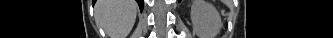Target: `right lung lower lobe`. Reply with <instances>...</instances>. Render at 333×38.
Instances as JSON below:
<instances>
[{
    "mask_svg": "<svg viewBox=\"0 0 333 38\" xmlns=\"http://www.w3.org/2000/svg\"><path fill=\"white\" fill-rule=\"evenodd\" d=\"M139 4L140 9H143V5H144V0H136ZM96 2V0L93 1V4Z\"/></svg>",
    "mask_w": 333,
    "mask_h": 38,
    "instance_id": "98d812e1",
    "label": "right lung lower lobe"
}]
</instances>
